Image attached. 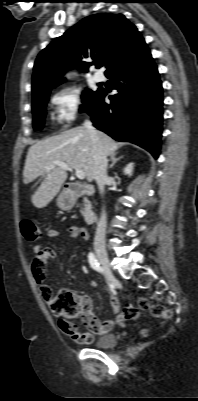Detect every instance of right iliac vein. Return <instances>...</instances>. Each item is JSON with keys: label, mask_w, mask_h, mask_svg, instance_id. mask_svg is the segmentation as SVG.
Segmentation results:
<instances>
[{"label": "right iliac vein", "mask_w": 198, "mask_h": 401, "mask_svg": "<svg viewBox=\"0 0 198 401\" xmlns=\"http://www.w3.org/2000/svg\"><path fill=\"white\" fill-rule=\"evenodd\" d=\"M96 255H97L99 263L104 271L106 280L108 283H110L113 279V274L110 269L109 258H108V254H107L105 248L102 246L96 247Z\"/></svg>", "instance_id": "63e3f726"}]
</instances>
